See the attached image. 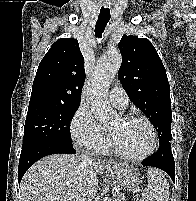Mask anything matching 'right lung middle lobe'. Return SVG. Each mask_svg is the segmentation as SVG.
Returning a JSON list of instances; mask_svg holds the SVG:
<instances>
[{
  "label": "right lung middle lobe",
  "instance_id": "right-lung-middle-lobe-1",
  "mask_svg": "<svg viewBox=\"0 0 196 201\" xmlns=\"http://www.w3.org/2000/svg\"><path fill=\"white\" fill-rule=\"evenodd\" d=\"M79 104L63 105L45 101L29 103L23 146L37 141H51L72 146L70 120Z\"/></svg>",
  "mask_w": 196,
  "mask_h": 201
}]
</instances>
